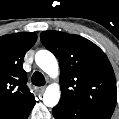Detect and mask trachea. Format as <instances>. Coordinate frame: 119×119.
<instances>
[{
  "label": "trachea",
  "instance_id": "1",
  "mask_svg": "<svg viewBox=\"0 0 119 119\" xmlns=\"http://www.w3.org/2000/svg\"><path fill=\"white\" fill-rule=\"evenodd\" d=\"M31 81L35 86H44L45 85V78L42 75V73H40L38 71L34 72V74L32 75Z\"/></svg>",
  "mask_w": 119,
  "mask_h": 119
}]
</instances>
